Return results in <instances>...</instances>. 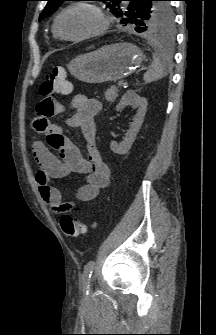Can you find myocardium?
<instances>
[{
  "mask_svg": "<svg viewBox=\"0 0 216 335\" xmlns=\"http://www.w3.org/2000/svg\"><path fill=\"white\" fill-rule=\"evenodd\" d=\"M78 7L87 8V9L91 10L92 12H94L99 19V24L94 29H92V30H90V31H88L84 34H81L79 36H73V37L66 36L61 32V30L59 28L60 18L67 11H69L73 8H78ZM109 26H110V19L108 18V16L105 14V12L102 10L101 7H99L96 4L89 3V2H74V3L69 4L65 8H63L57 14V16L54 20L53 30L57 34V36L59 38L63 39V40H66V41H81V40L92 38L94 36H97V35H100V34L104 33L109 28Z\"/></svg>",
  "mask_w": 216,
  "mask_h": 335,
  "instance_id": "myocardium-1",
  "label": "myocardium"
}]
</instances>
